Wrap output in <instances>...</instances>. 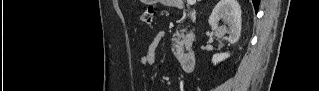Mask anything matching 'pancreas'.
Instances as JSON below:
<instances>
[{
    "mask_svg": "<svg viewBox=\"0 0 319 91\" xmlns=\"http://www.w3.org/2000/svg\"><path fill=\"white\" fill-rule=\"evenodd\" d=\"M185 30H181V34L177 36V41L172 46V52L175 56H180L184 52L187 42L192 38L193 33L184 34Z\"/></svg>",
    "mask_w": 319,
    "mask_h": 91,
    "instance_id": "pancreas-1",
    "label": "pancreas"
}]
</instances>
